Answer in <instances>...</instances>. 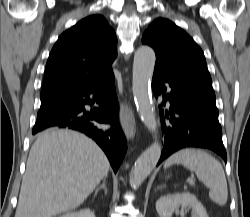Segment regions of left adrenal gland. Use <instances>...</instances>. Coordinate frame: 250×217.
I'll return each instance as SVG.
<instances>
[{
    "label": "left adrenal gland",
    "instance_id": "left-adrenal-gland-1",
    "mask_svg": "<svg viewBox=\"0 0 250 217\" xmlns=\"http://www.w3.org/2000/svg\"><path fill=\"white\" fill-rule=\"evenodd\" d=\"M166 187V185H161V186H157V190H159V189H162V188H165Z\"/></svg>",
    "mask_w": 250,
    "mask_h": 217
}]
</instances>
